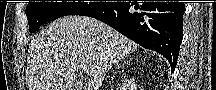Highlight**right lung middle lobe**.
<instances>
[{
	"label": "right lung middle lobe",
	"instance_id": "1",
	"mask_svg": "<svg viewBox=\"0 0 216 90\" xmlns=\"http://www.w3.org/2000/svg\"><path fill=\"white\" fill-rule=\"evenodd\" d=\"M104 3L87 2H29L26 15L29 31L35 32L42 24L66 15H80L84 11Z\"/></svg>",
	"mask_w": 216,
	"mask_h": 90
}]
</instances>
